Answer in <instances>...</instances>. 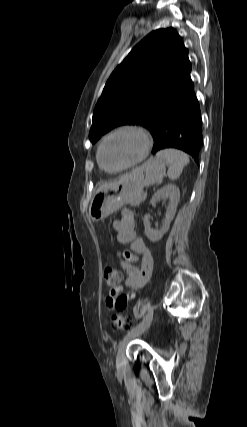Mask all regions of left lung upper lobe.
I'll return each mask as SVG.
<instances>
[{"label": "left lung upper lobe", "mask_w": 247, "mask_h": 427, "mask_svg": "<svg viewBox=\"0 0 247 427\" xmlns=\"http://www.w3.org/2000/svg\"><path fill=\"white\" fill-rule=\"evenodd\" d=\"M190 71L188 50L173 28L148 34L106 82L93 112L91 142L119 125L149 128L162 106L192 82Z\"/></svg>", "instance_id": "left-lung-upper-lobe-1"}]
</instances>
